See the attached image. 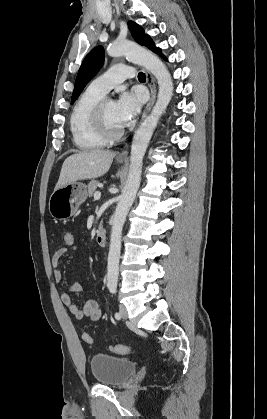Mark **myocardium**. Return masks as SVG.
Listing matches in <instances>:
<instances>
[{
  "label": "myocardium",
  "mask_w": 267,
  "mask_h": 419,
  "mask_svg": "<svg viewBox=\"0 0 267 419\" xmlns=\"http://www.w3.org/2000/svg\"><path fill=\"white\" fill-rule=\"evenodd\" d=\"M109 98H103L95 107L93 112V124L98 135L106 142L114 141L121 138L125 132V128L117 131L111 130L106 122L105 107Z\"/></svg>",
  "instance_id": "myocardium-1"
}]
</instances>
